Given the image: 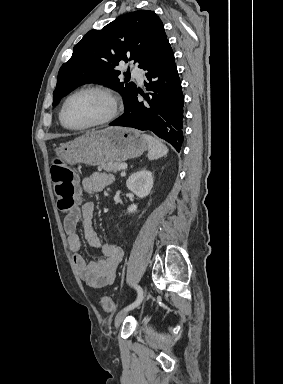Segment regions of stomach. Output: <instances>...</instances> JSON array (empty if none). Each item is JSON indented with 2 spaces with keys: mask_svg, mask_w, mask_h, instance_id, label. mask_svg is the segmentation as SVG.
<instances>
[{
  "mask_svg": "<svg viewBox=\"0 0 283 384\" xmlns=\"http://www.w3.org/2000/svg\"><path fill=\"white\" fill-rule=\"evenodd\" d=\"M147 150V142L133 128H105L76 138L73 142L56 148L57 158L67 164H88L102 166L106 162H124L138 158Z\"/></svg>",
  "mask_w": 283,
  "mask_h": 384,
  "instance_id": "1",
  "label": "stomach"
}]
</instances>
